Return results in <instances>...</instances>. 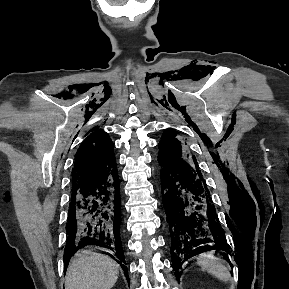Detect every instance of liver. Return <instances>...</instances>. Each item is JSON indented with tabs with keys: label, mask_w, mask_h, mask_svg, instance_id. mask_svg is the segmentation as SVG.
Instances as JSON below:
<instances>
[{
	"label": "liver",
	"mask_w": 289,
	"mask_h": 289,
	"mask_svg": "<svg viewBox=\"0 0 289 289\" xmlns=\"http://www.w3.org/2000/svg\"><path fill=\"white\" fill-rule=\"evenodd\" d=\"M119 265L110 257L83 251L71 260L65 289H111L118 279Z\"/></svg>",
	"instance_id": "liver-1"
}]
</instances>
